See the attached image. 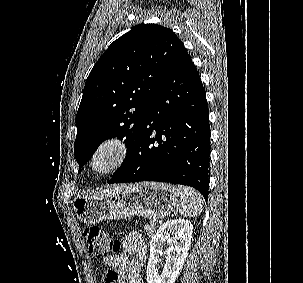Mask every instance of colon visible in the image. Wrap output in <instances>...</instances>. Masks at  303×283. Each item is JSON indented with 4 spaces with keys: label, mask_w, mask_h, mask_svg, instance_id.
Segmentation results:
<instances>
[{
    "label": "colon",
    "mask_w": 303,
    "mask_h": 283,
    "mask_svg": "<svg viewBox=\"0 0 303 283\" xmlns=\"http://www.w3.org/2000/svg\"><path fill=\"white\" fill-rule=\"evenodd\" d=\"M85 238L90 252L95 255H105L119 247V242L108 231L97 226L87 227Z\"/></svg>",
    "instance_id": "obj_1"
}]
</instances>
